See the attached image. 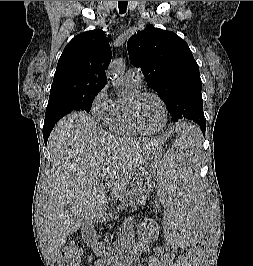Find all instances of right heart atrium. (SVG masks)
Here are the masks:
<instances>
[{"instance_id":"d8ad5b80","label":"right heart atrium","mask_w":253,"mask_h":266,"mask_svg":"<svg viewBox=\"0 0 253 266\" xmlns=\"http://www.w3.org/2000/svg\"><path fill=\"white\" fill-rule=\"evenodd\" d=\"M113 103V100L108 94L107 86H104L93 98L91 103V112L99 121L107 123L113 108Z\"/></svg>"}]
</instances>
